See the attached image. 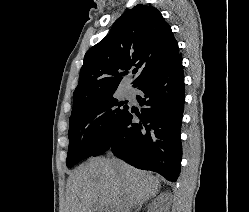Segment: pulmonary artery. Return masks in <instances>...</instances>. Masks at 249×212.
<instances>
[{"label":"pulmonary artery","mask_w":249,"mask_h":212,"mask_svg":"<svg viewBox=\"0 0 249 212\" xmlns=\"http://www.w3.org/2000/svg\"><path fill=\"white\" fill-rule=\"evenodd\" d=\"M123 97L127 99L135 98V91L131 86H127L123 91Z\"/></svg>","instance_id":"obj_1"}]
</instances>
